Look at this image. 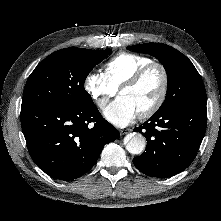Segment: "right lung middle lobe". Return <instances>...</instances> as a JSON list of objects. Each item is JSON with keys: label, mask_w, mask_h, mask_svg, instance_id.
Masks as SVG:
<instances>
[{"label": "right lung middle lobe", "mask_w": 221, "mask_h": 221, "mask_svg": "<svg viewBox=\"0 0 221 221\" xmlns=\"http://www.w3.org/2000/svg\"><path fill=\"white\" fill-rule=\"evenodd\" d=\"M110 52L70 47L50 54L29 76L22 106L81 107L93 103L84 80Z\"/></svg>", "instance_id": "right-lung-middle-lobe-1"}]
</instances>
